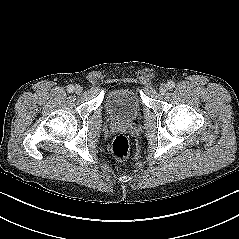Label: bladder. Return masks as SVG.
I'll return each mask as SVG.
<instances>
[{
  "label": "bladder",
  "instance_id": "bladder-1",
  "mask_svg": "<svg viewBox=\"0 0 239 239\" xmlns=\"http://www.w3.org/2000/svg\"><path fill=\"white\" fill-rule=\"evenodd\" d=\"M141 107L138 93L131 88L119 87L106 94V110L114 120L133 121L139 116Z\"/></svg>",
  "mask_w": 239,
  "mask_h": 239
}]
</instances>
